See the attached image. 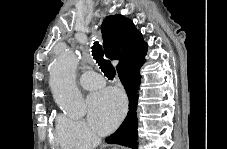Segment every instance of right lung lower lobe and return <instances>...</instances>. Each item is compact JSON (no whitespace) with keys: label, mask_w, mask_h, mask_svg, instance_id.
Masks as SVG:
<instances>
[{"label":"right lung lower lobe","mask_w":227,"mask_h":149,"mask_svg":"<svg viewBox=\"0 0 227 149\" xmlns=\"http://www.w3.org/2000/svg\"><path fill=\"white\" fill-rule=\"evenodd\" d=\"M143 62H136L123 67L118 71L119 78L124 85L129 98V111L126 119L115 133L105 139L107 143L120 144L131 148H137V103L140 85L139 70Z\"/></svg>","instance_id":"1"}]
</instances>
